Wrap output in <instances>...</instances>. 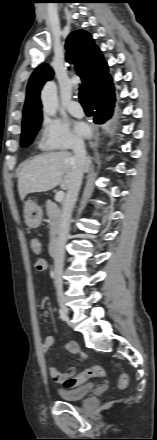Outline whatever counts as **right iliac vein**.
Listing matches in <instances>:
<instances>
[{"label":"right iliac vein","instance_id":"obj_1","mask_svg":"<svg viewBox=\"0 0 157 440\" xmlns=\"http://www.w3.org/2000/svg\"><path fill=\"white\" fill-rule=\"evenodd\" d=\"M57 299H58L59 305H60L62 311L64 312L65 316L68 317L69 310L66 305V300H65L64 294L61 289L57 290Z\"/></svg>","mask_w":157,"mask_h":440}]
</instances>
